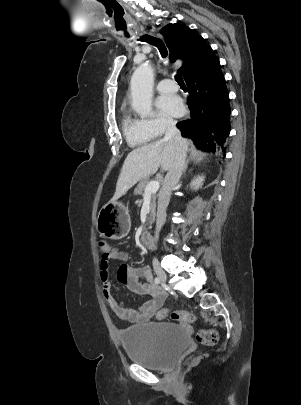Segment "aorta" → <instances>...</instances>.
Listing matches in <instances>:
<instances>
[{
    "label": "aorta",
    "instance_id": "762f6f07",
    "mask_svg": "<svg viewBox=\"0 0 301 405\" xmlns=\"http://www.w3.org/2000/svg\"><path fill=\"white\" fill-rule=\"evenodd\" d=\"M153 81V70L147 63L136 68L131 77L132 107L142 116L149 115L152 109Z\"/></svg>",
    "mask_w": 301,
    "mask_h": 405
}]
</instances>
